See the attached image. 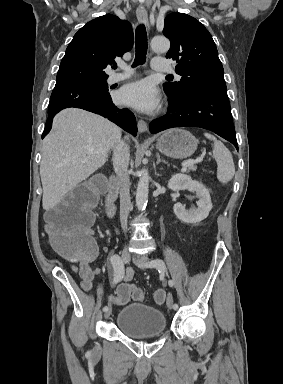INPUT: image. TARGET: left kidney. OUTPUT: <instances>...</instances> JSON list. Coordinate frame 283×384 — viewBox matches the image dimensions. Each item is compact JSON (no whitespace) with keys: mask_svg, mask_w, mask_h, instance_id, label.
<instances>
[{"mask_svg":"<svg viewBox=\"0 0 283 384\" xmlns=\"http://www.w3.org/2000/svg\"><path fill=\"white\" fill-rule=\"evenodd\" d=\"M168 188L169 190H173V192H179V190L196 192L199 198L198 202H196L198 208H192V210H185L182 204H174V214L179 220L186 222V224H198V222H202V220H205V218L209 216V212L213 206L210 194L203 184L192 180V178L186 176V174H174L168 182Z\"/></svg>","mask_w":283,"mask_h":384,"instance_id":"left-kidney-1","label":"left kidney"}]
</instances>
